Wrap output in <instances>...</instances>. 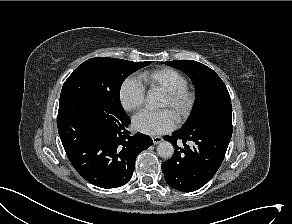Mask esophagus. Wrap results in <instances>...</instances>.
I'll list each match as a JSON object with an SVG mask.
<instances>
[{
  "label": "esophagus",
  "instance_id": "1",
  "mask_svg": "<svg viewBox=\"0 0 292 224\" xmlns=\"http://www.w3.org/2000/svg\"><path fill=\"white\" fill-rule=\"evenodd\" d=\"M152 140H153V143L156 145L162 142L163 138L161 136H152Z\"/></svg>",
  "mask_w": 292,
  "mask_h": 224
}]
</instances>
